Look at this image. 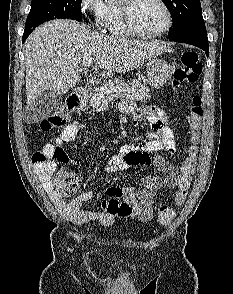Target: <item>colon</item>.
<instances>
[{"label":"colon","mask_w":233,"mask_h":294,"mask_svg":"<svg viewBox=\"0 0 233 294\" xmlns=\"http://www.w3.org/2000/svg\"><path fill=\"white\" fill-rule=\"evenodd\" d=\"M202 65L199 62L198 54L194 51L183 53L175 69L173 76V85L175 87L181 84H193L200 77ZM69 116L64 109L59 108L48 118L40 123V130L47 132L55 129H62L68 122ZM203 121V105L199 95L192 98L188 115V125L190 134V145L187 149L186 157L181 166V174L178 178V187L175 192L174 202L176 205H182L188 195L191 187L196 165V144L198 143L200 130ZM48 155L43 151L36 152L33 155L34 163H46ZM81 183L80 178L74 173L61 171L54 177V184L57 190L65 197L72 195ZM131 209L125 204H121L120 212L122 214L130 213ZM175 217V210L166 204L158 207L155 220L161 226L168 225Z\"/></svg>","instance_id":"colon-1"}]
</instances>
